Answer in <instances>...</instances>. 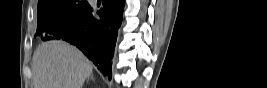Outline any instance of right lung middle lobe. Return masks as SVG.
Masks as SVG:
<instances>
[{"mask_svg":"<svg viewBox=\"0 0 267 88\" xmlns=\"http://www.w3.org/2000/svg\"><path fill=\"white\" fill-rule=\"evenodd\" d=\"M88 6L85 0H39L35 36L40 35L44 41L52 39L60 25L74 21Z\"/></svg>","mask_w":267,"mask_h":88,"instance_id":"obj_1","label":"right lung middle lobe"}]
</instances>
